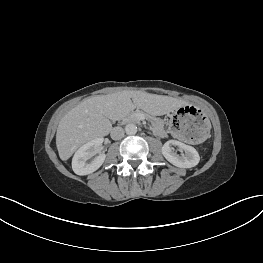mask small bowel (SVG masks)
<instances>
[{"instance_id": "1", "label": "small bowel", "mask_w": 263, "mask_h": 263, "mask_svg": "<svg viewBox=\"0 0 263 263\" xmlns=\"http://www.w3.org/2000/svg\"><path fill=\"white\" fill-rule=\"evenodd\" d=\"M155 131L159 134V135H163L165 133L164 129L161 127L160 124L156 123L155 124Z\"/></svg>"}]
</instances>
